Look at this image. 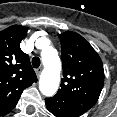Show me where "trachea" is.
I'll list each match as a JSON object with an SVG mask.
<instances>
[{"label":"trachea","mask_w":117,"mask_h":117,"mask_svg":"<svg viewBox=\"0 0 117 117\" xmlns=\"http://www.w3.org/2000/svg\"><path fill=\"white\" fill-rule=\"evenodd\" d=\"M32 65L34 68H38L40 66V59L38 57L32 58Z\"/></svg>","instance_id":"1"}]
</instances>
